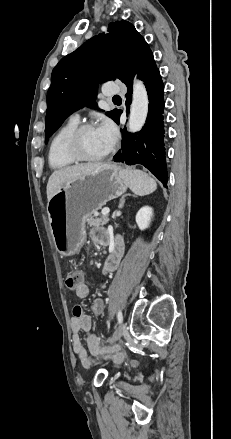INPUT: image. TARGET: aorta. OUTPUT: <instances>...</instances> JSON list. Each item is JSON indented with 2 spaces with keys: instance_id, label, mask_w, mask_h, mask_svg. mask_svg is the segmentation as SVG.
Masks as SVG:
<instances>
[{
  "instance_id": "aorta-1",
  "label": "aorta",
  "mask_w": 231,
  "mask_h": 439,
  "mask_svg": "<svg viewBox=\"0 0 231 439\" xmlns=\"http://www.w3.org/2000/svg\"><path fill=\"white\" fill-rule=\"evenodd\" d=\"M149 100L146 88L142 81L136 80L133 84V96L130 117L128 122L129 131L136 133L142 129L148 114Z\"/></svg>"
}]
</instances>
